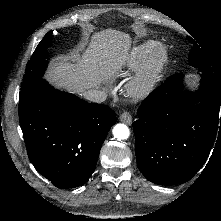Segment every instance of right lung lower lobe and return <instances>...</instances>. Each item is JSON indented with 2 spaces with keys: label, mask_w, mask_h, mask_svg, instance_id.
<instances>
[{
  "label": "right lung lower lobe",
  "mask_w": 221,
  "mask_h": 221,
  "mask_svg": "<svg viewBox=\"0 0 221 221\" xmlns=\"http://www.w3.org/2000/svg\"><path fill=\"white\" fill-rule=\"evenodd\" d=\"M108 106L87 103L40 79L19 99V120L36 170L61 189L84 185L116 123Z\"/></svg>",
  "instance_id": "98d812e1"
}]
</instances>
